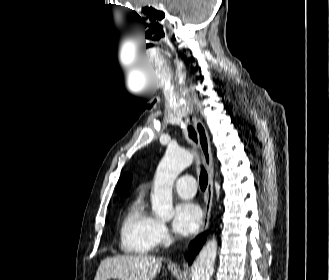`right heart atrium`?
Instances as JSON below:
<instances>
[{"instance_id": "obj_1", "label": "right heart atrium", "mask_w": 329, "mask_h": 280, "mask_svg": "<svg viewBox=\"0 0 329 280\" xmlns=\"http://www.w3.org/2000/svg\"><path fill=\"white\" fill-rule=\"evenodd\" d=\"M169 233L166 225L161 222L157 221L155 226V240L157 245H163L168 241Z\"/></svg>"}]
</instances>
